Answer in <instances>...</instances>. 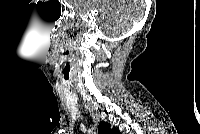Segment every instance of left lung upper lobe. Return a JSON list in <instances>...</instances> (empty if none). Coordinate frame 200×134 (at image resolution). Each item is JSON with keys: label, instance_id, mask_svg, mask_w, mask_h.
I'll list each match as a JSON object with an SVG mask.
<instances>
[{"label": "left lung upper lobe", "instance_id": "1", "mask_svg": "<svg viewBox=\"0 0 200 134\" xmlns=\"http://www.w3.org/2000/svg\"><path fill=\"white\" fill-rule=\"evenodd\" d=\"M98 133L99 134H120V131L115 127H111L109 123L100 122L98 126Z\"/></svg>", "mask_w": 200, "mask_h": 134}]
</instances>
